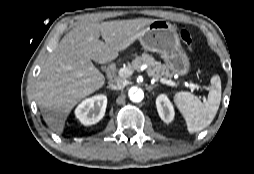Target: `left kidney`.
Returning <instances> with one entry per match:
<instances>
[{
    "mask_svg": "<svg viewBox=\"0 0 254 174\" xmlns=\"http://www.w3.org/2000/svg\"><path fill=\"white\" fill-rule=\"evenodd\" d=\"M156 107L160 118L165 123L173 121L175 115L174 107L165 94H161L156 98Z\"/></svg>",
    "mask_w": 254,
    "mask_h": 174,
    "instance_id": "1",
    "label": "left kidney"
}]
</instances>
